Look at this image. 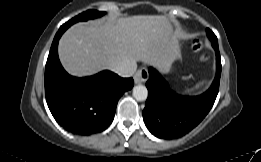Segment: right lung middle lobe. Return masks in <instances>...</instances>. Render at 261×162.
Segmentation results:
<instances>
[{
    "instance_id": "obj_1",
    "label": "right lung middle lobe",
    "mask_w": 261,
    "mask_h": 162,
    "mask_svg": "<svg viewBox=\"0 0 261 162\" xmlns=\"http://www.w3.org/2000/svg\"><path fill=\"white\" fill-rule=\"evenodd\" d=\"M104 14H105V12H100V11H96V10H88V11L83 12V13L79 14L78 16L74 17L73 19H71L68 22H70L71 24H74L78 21H86L88 19L100 17Z\"/></svg>"
}]
</instances>
